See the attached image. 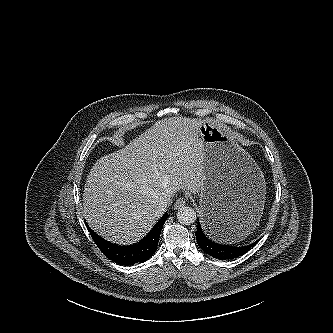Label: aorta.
Wrapping results in <instances>:
<instances>
[{
  "label": "aorta",
  "mask_w": 333,
  "mask_h": 333,
  "mask_svg": "<svg viewBox=\"0 0 333 333\" xmlns=\"http://www.w3.org/2000/svg\"><path fill=\"white\" fill-rule=\"evenodd\" d=\"M177 219L182 225H191L196 221V212L189 206L181 207L178 210Z\"/></svg>",
  "instance_id": "aorta-1"
}]
</instances>
